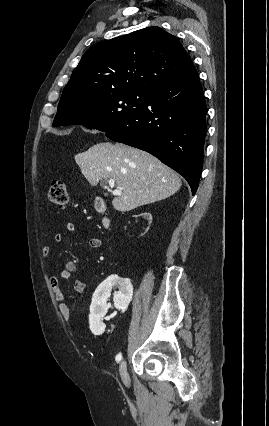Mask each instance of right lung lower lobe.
<instances>
[{"label": "right lung lower lobe", "instance_id": "1", "mask_svg": "<svg viewBox=\"0 0 269 426\" xmlns=\"http://www.w3.org/2000/svg\"><path fill=\"white\" fill-rule=\"evenodd\" d=\"M206 113L203 89L193 69L151 89L144 107L106 136L156 156L187 180L194 195L202 172Z\"/></svg>", "mask_w": 269, "mask_h": 426}]
</instances>
